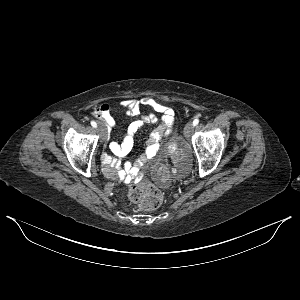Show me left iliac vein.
<instances>
[{"label":"left iliac vein","mask_w":300,"mask_h":300,"mask_svg":"<svg viewBox=\"0 0 300 300\" xmlns=\"http://www.w3.org/2000/svg\"><path fill=\"white\" fill-rule=\"evenodd\" d=\"M194 125L191 121H189L184 128V135L189 138L193 132Z\"/></svg>","instance_id":"obj_1"}]
</instances>
